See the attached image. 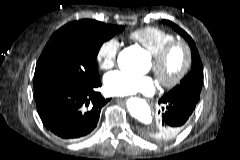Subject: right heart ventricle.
<instances>
[{
  "label": "right heart ventricle",
  "instance_id": "1",
  "mask_svg": "<svg viewBox=\"0 0 240 160\" xmlns=\"http://www.w3.org/2000/svg\"><path fill=\"white\" fill-rule=\"evenodd\" d=\"M129 37L143 46L152 55L157 53L168 42L175 39L172 33L158 27H145L135 30Z\"/></svg>",
  "mask_w": 240,
  "mask_h": 160
}]
</instances>
